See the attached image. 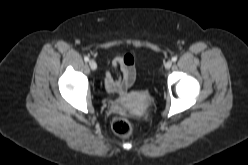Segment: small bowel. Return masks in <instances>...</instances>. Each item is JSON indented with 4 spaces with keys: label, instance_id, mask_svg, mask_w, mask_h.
<instances>
[{
    "label": "small bowel",
    "instance_id": "1",
    "mask_svg": "<svg viewBox=\"0 0 248 165\" xmlns=\"http://www.w3.org/2000/svg\"><path fill=\"white\" fill-rule=\"evenodd\" d=\"M113 69L119 72L118 77L111 73L105 75V88L112 94H123L136 79L135 58L131 54L115 57L112 61Z\"/></svg>",
    "mask_w": 248,
    "mask_h": 165
}]
</instances>
